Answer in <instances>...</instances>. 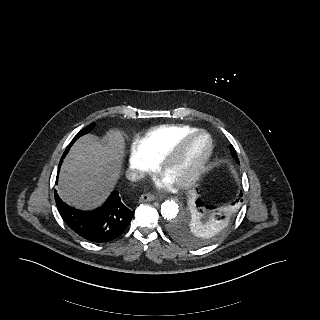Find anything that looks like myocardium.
Masks as SVG:
<instances>
[{
	"label": "myocardium",
	"instance_id": "1",
	"mask_svg": "<svg viewBox=\"0 0 320 320\" xmlns=\"http://www.w3.org/2000/svg\"><path fill=\"white\" fill-rule=\"evenodd\" d=\"M199 138L205 141V148L186 176L176 182L177 187L185 188L191 186L204 172L213 153V141L210 135L203 130L195 129L182 136L172 149L160 160V171L162 174H166L168 170L183 156L189 144Z\"/></svg>",
	"mask_w": 320,
	"mask_h": 320
}]
</instances>
